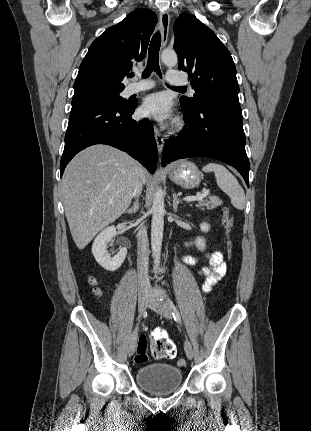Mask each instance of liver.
Here are the masks:
<instances>
[{"mask_svg": "<svg viewBox=\"0 0 311 431\" xmlns=\"http://www.w3.org/2000/svg\"><path fill=\"white\" fill-rule=\"evenodd\" d=\"M139 180L146 184L147 170L111 146H91L71 160L64 172L61 194L79 249L126 212Z\"/></svg>", "mask_w": 311, "mask_h": 431, "instance_id": "6515ba94", "label": "liver"}]
</instances>
